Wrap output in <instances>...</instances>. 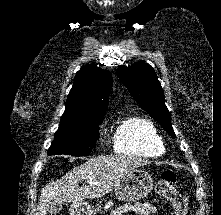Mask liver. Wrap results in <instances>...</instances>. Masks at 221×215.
Instances as JSON below:
<instances>
[{"label":"liver","instance_id":"6515ba94","mask_svg":"<svg viewBox=\"0 0 221 215\" xmlns=\"http://www.w3.org/2000/svg\"><path fill=\"white\" fill-rule=\"evenodd\" d=\"M147 164V161L133 156L103 155L90 158L60 180L43 188L37 215H46L54 202L80 203L85 199L100 198L116 188L135 168ZM81 181L86 183L82 187L79 186Z\"/></svg>","mask_w":221,"mask_h":215}]
</instances>
